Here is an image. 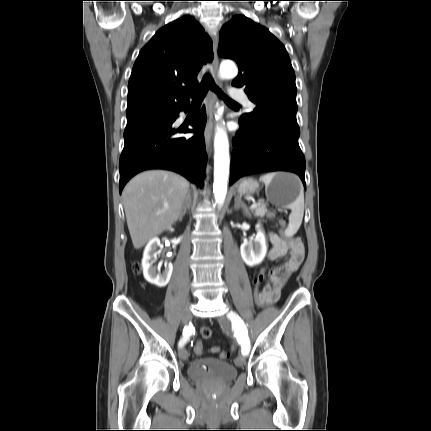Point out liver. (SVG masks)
<instances>
[{"mask_svg": "<svg viewBox=\"0 0 431 431\" xmlns=\"http://www.w3.org/2000/svg\"><path fill=\"white\" fill-rule=\"evenodd\" d=\"M189 182L162 170L138 174L125 186L122 199L134 248L143 247L180 217Z\"/></svg>", "mask_w": 431, "mask_h": 431, "instance_id": "obj_1", "label": "liver"}]
</instances>
